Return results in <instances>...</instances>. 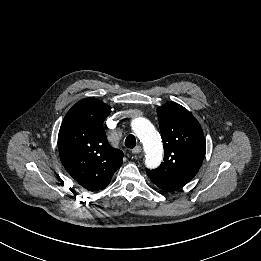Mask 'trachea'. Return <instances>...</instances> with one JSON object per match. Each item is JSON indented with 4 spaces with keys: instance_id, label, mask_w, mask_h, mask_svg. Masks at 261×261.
<instances>
[{
    "instance_id": "trachea-1",
    "label": "trachea",
    "mask_w": 261,
    "mask_h": 261,
    "mask_svg": "<svg viewBox=\"0 0 261 261\" xmlns=\"http://www.w3.org/2000/svg\"><path fill=\"white\" fill-rule=\"evenodd\" d=\"M125 146L127 148H134L136 146V138L134 135H128L125 139Z\"/></svg>"
}]
</instances>
